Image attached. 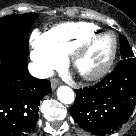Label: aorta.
<instances>
[{"instance_id":"1","label":"aorta","mask_w":136,"mask_h":136,"mask_svg":"<svg viewBox=\"0 0 136 136\" xmlns=\"http://www.w3.org/2000/svg\"><path fill=\"white\" fill-rule=\"evenodd\" d=\"M57 96L64 104H71L74 101V92L68 86H60L57 90Z\"/></svg>"}]
</instances>
